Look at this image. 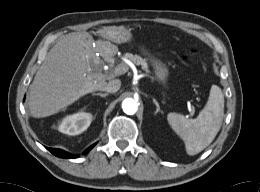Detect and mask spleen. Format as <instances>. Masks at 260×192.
<instances>
[{"mask_svg": "<svg viewBox=\"0 0 260 192\" xmlns=\"http://www.w3.org/2000/svg\"><path fill=\"white\" fill-rule=\"evenodd\" d=\"M224 116V96L221 88L212 85L205 107L197 118L187 119L177 113H169L167 120L179 135L188 155H196L212 143L219 132Z\"/></svg>", "mask_w": 260, "mask_h": 192, "instance_id": "1", "label": "spleen"}]
</instances>
